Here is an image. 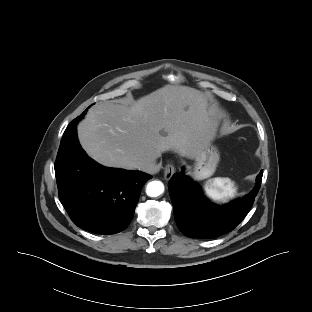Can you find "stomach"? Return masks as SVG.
Instances as JSON below:
<instances>
[{"instance_id":"obj_1","label":"stomach","mask_w":312,"mask_h":312,"mask_svg":"<svg viewBox=\"0 0 312 312\" xmlns=\"http://www.w3.org/2000/svg\"><path fill=\"white\" fill-rule=\"evenodd\" d=\"M220 156L215 146L208 144L195 156V163L190 174L198 180L212 176L216 170Z\"/></svg>"}]
</instances>
